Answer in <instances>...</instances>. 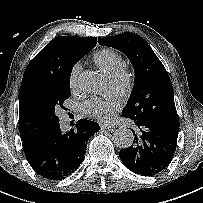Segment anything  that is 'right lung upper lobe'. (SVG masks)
<instances>
[{"label": "right lung upper lobe", "mask_w": 203, "mask_h": 203, "mask_svg": "<svg viewBox=\"0 0 203 203\" xmlns=\"http://www.w3.org/2000/svg\"><path fill=\"white\" fill-rule=\"evenodd\" d=\"M96 43V37L60 36L28 64L19 93V131L23 147L47 137L54 127L40 113L35 100L37 88L53 76L65 74Z\"/></svg>", "instance_id": "1"}]
</instances>
